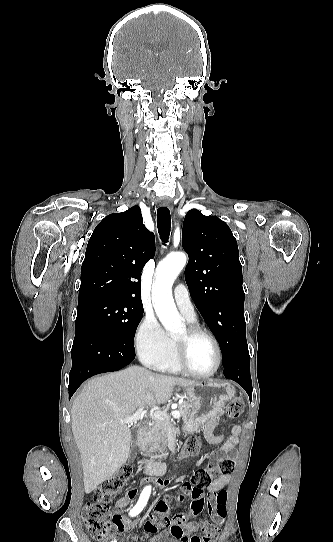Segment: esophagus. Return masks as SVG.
Here are the masks:
<instances>
[{
	"label": "esophagus",
	"mask_w": 333,
	"mask_h": 542,
	"mask_svg": "<svg viewBox=\"0 0 333 542\" xmlns=\"http://www.w3.org/2000/svg\"><path fill=\"white\" fill-rule=\"evenodd\" d=\"M162 204H163L164 207H168V208L171 207V201L170 200H165Z\"/></svg>",
	"instance_id": "esophagus-1"
}]
</instances>
